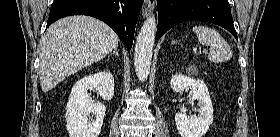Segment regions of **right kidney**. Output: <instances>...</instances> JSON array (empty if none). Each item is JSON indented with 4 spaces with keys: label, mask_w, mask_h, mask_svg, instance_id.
Masks as SVG:
<instances>
[{
    "label": "right kidney",
    "mask_w": 280,
    "mask_h": 137,
    "mask_svg": "<svg viewBox=\"0 0 280 137\" xmlns=\"http://www.w3.org/2000/svg\"><path fill=\"white\" fill-rule=\"evenodd\" d=\"M96 89L103 100L114 95V79L107 71L86 76L75 83L67 102L66 122L70 137H98L103 124L106 108L94 102L89 90ZM95 120L90 121L89 115Z\"/></svg>",
    "instance_id": "right-kidney-1"
}]
</instances>
